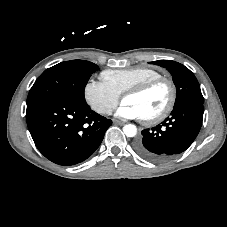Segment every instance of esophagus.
Listing matches in <instances>:
<instances>
[{
	"mask_svg": "<svg viewBox=\"0 0 227 227\" xmlns=\"http://www.w3.org/2000/svg\"><path fill=\"white\" fill-rule=\"evenodd\" d=\"M113 123L116 124V125H124L125 124V122H122V121H119V120H114Z\"/></svg>",
	"mask_w": 227,
	"mask_h": 227,
	"instance_id": "34e87169",
	"label": "esophagus"
}]
</instances>
